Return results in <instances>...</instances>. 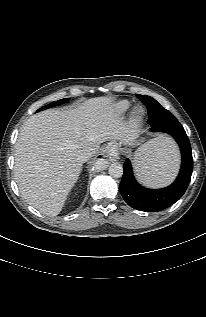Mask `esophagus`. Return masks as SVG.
Segmentation results:
<instances>
[{
	"label": "esophagus",
	"instance_id": "obj_1",
	"mask_svg": "<svg viewBox=\"0 0 206 317\" xmlns=\"http://www.w3.org/2000/svg\"><path fill=\"white\" fill-rule=\"evenodd\" d=\"M107 151H109V150H107ZM110 159H111V157L109 156L108 152L99 154V156H98V161L108 162Z\"/></svg>",
	"mask_w": 206,
	"mask_h": 317
}]
</instances>
